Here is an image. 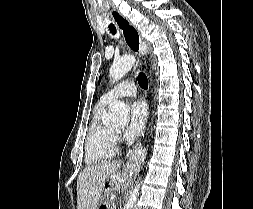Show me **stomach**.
Listing matches in <instances>:
<instances>
[{"label": "stomach", "instance_id": "0dacf381", "mask_svg": "<svg viewBox=\"0 0 253 209\" xmlns=\"http://www.w3.org/2000/svg\"><path fill=\"white\" fill-rule=\"evenodd\" d=\"M101 186L103 191H99V201L96 202L97 209H112L113 202H111L110 196H112V188L114 187V182L101 181Z\"/></svg>", "mask_w": 253, "mask_h": 209}]
</instances>
